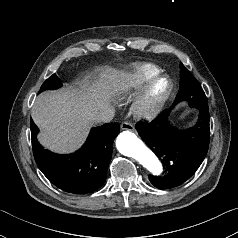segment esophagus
<instances>
[{
	"instance_id": "34e87169",
	"label": "esophagus",
	"mask_w": 238,
	"mask_h": 238,
	"mask_svg": "<svg viewBox=\"0 0 238 238\" xmlns=\"http://www.w3.org/2000/svg\"><path fill=\"white\" fill-rule=\"evenodd\" d=\"M121 130H126V131H133L134 126L130 122H123L120 126Z\"/></svg>"
}]
</instances>
